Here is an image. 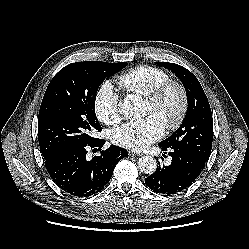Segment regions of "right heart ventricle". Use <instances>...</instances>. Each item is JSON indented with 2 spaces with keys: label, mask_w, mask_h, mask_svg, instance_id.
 <instances>
[{
  "label": "right heart ventricle",
  "mask_w": 249,
  "mask_h": 249,
  "mask_svg": "<svg viewBox=\"0 0 249 249\" xmlns=\"http://www.w3.org/2000/svg\"><path fill=\"white\" fill-rule=\"evenodd\" d=\"M168 79L169 74L165 70L142 65L121 74L116 83L126 93L145 96Z\"/></svg>",
  "instance_id": "e07e8e85"
}]
</instances>
